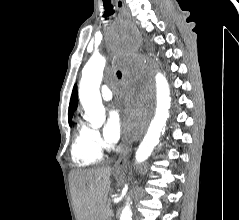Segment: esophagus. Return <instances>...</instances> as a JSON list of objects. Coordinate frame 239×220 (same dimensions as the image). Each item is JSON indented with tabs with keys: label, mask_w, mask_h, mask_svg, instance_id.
<instances>
[{
	"label": "esophagus",
	"mask_w": 239,
	"mask_h": 220,
	"mask_svg": "<svg viewBox=\"0 0 239 220\" xmlns=\"http://www.w3.org/2000/svg\"><path fill=\"white\" fill-rule=\"evenodd\" d=\"M115 2H116V6L118 8V11L121 14H124V15L128 14L127 10L125 9L123 0H115ZM130 151H131V148L129 146H126L124 151L121 153V155L119 156L118 160L116 161V163L114 165L115 170H120L125 166V164L128 160Z\"/></svg>",
	"instance_id": "34e87169"
}]
</instances>
